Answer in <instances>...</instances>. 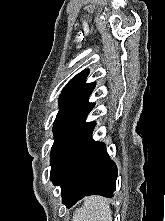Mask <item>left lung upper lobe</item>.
<instances>
[{
	"label": "left lung upper lobe",
	"instance_id": "obj_1",
	"mask_svg": "<svg viewBox=\"0 0 165 221\" xmlns=\"http://www.w3.org/2000/svg\"><path fill=\"white\" fill-rule=\"evenodd\" d=\"M88 74V70L80 72L62 90L59 97V112L53 126V146L69 129L87 116L94 107V104L89 103L88 99L95 88V83L87 84L85 82Z\"/></svg>",
	"mask_w": 165,
	"mask_h": 221
}]
</instances>
